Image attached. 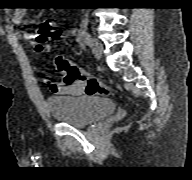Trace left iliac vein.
<instances>
[{
	"label": "left iliac vein",
	"mask_w": 192,
	"mask_h": 180,
	"mask_svg": "<svg viewBox=\"0 0 192 180\" xmlns=\"http://www.w3.org/2000/svg\"><path fill=\"white\" fill-rule=\"evenodd\" d=\"M90 47L92 49L93 54L97 57L100 58L102 56L103 52V45L102 43L95 37H92L90 40Z\"/></svg>",
	"instance_id": "left-iliac-vein-1"
}]
</instances>
